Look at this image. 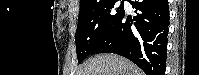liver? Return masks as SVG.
I'll return each mask as SVG.
<instances>
[{
    "label": "liver",
    "mask_w": 199,
    "mask_h": 75,
    "mask_svg": "<svg viewBox=\"0 0 199 75\" xmlns=\"http://www.w3.org/2000/svg\"><path fill=\"white\" fill-rule=\"evenodd\" d=\"M76 75H144L131 61L115 54H101L89 59Z\"/></svg>",
    "instance_id": "obj_1"
}]
</instances>
